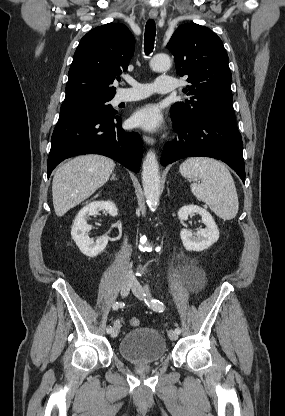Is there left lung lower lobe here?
Masks as SVG:
<instances>
[{"instance_id": "obj_1", "label": "left lung lower lobe", "mask_w": 285, "mask_h": 416, "mask_svg": "<svg viewBox=\"0 0 285 416\" xmlns=\"http://www.w3.org/2000/svg\"><path fill=\"white\" fill-rule=\"evenodd\" d=\"M178 134L164 147L161 164L186 157H212L228 164L245 182L242 138L234 115H208L189 124L176 125Z\"/></svg>"}]
</instances>
